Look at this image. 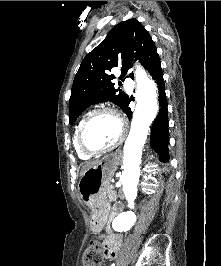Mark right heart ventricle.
I'll use <instances>...</instances> for the list:
<instances>
[{"mask_svg":"<svg viewBox=\"0 0 221 266\" xmlns=\"http://www.w3.org/2000/svg\"><path fill=\"white\" fill-rule=\"evenodd\" d=\"M86 115H83L78 124H77V127L75 129V133H74V137H73V145H74V149L77 153V155L81 158V159H89L91 156L88 155V154H85L84 152L81 151L79 145H78V132H79V129H80V126L82 124V122L84 121Z\"/></svg>","mask_w":221,"mask_h":266,"instance_id":"1","label":"right heart ventricle"}]
</instances>
